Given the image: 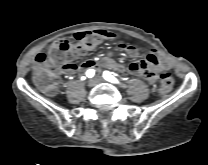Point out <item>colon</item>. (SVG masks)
Masks as SVG:
<instances>
[{"instance_id": "1", "label": "colon", "mask_w": 208, "mask_h": 165, "mask_svg": "<svg viewBox=\"0 0 208 165\" xmlns=\"http://www.w3.org/2000/svg\"><path fill=\"white\" fill-rule=\"evenodd\" d=\"M101 37L95 32H79L74 41L60 40L50 50L36 55L33 64V82L43 92L53 95L59 87V70L64 62H74L85 52L95 48ZM174 85V77L170 72L160 76L159 94H168Z\"/></svg>"}]
</instances>
